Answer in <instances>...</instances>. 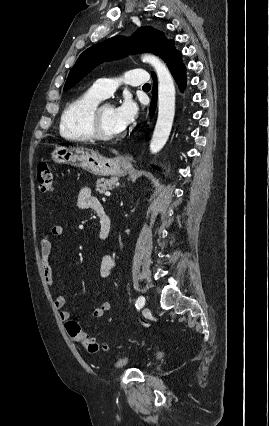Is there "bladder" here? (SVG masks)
<instances>
[{
  "label": "bladder",
  "mask_w": 269,
  "mask_h": 426,
  "mask_svg": "<svg viewBox=\"0 0 269 426\" xmlns=\"http://www.w3.org/2000/svg\"><path fill=\"white\" fill-rule=\"evenodd\" d=\"M130 363H131V358L129 356L122 355L116 359L114 365L116 369H122L127 367Z\"/></svg>",
  "instance_id": "31cf9c89"
}]
</instances>
